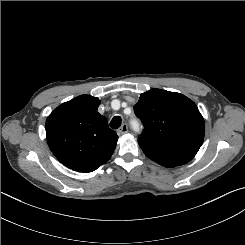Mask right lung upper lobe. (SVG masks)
<instances>
[{"mask_svg": "<svg viewBox=\"0 0 245 245\" xmlns=\"http://www.w3.org/2000/svg\"><path fill=\"white\" fill-rule=\"evenodd\" d=\"M97 97L81 95L57 107L46 120L50 150L66 167L88 173L107 162L118 136L97 110Z\"/></svg>", "mask_w": 245, "mask_h": 245, "instance_id": "1", "label": "right lung upper lobe"}]
</instances>
